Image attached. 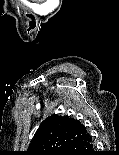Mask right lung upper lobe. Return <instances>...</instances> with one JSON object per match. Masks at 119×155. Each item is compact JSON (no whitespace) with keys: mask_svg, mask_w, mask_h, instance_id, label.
<instances>
[{"mask_svg":"<svg viewBox=\"0 0 119 155\" xmlns=\"http://www.w3.org/2000/svg\"><path fill=\"white\" fill-rule=\"evenodd\" d=\"M86 133L78 120L53 114L41 123L24 155H61Z\"/></svg>","mask_w":119,"mask_h":155,"instance_id":"obj_1","label":"right lung upper lobe"}]
</instances>
